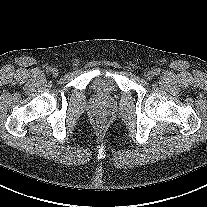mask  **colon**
I'll list each match as a JSON object with an SVG mask.
<instances>
[{"mask_svg":"<svg viewBox=\"0 0 207 207\" xmlns=\"http://www.w3.org/2000/svg\"><path fill=\"white\" fill-rule=\"evenodd\" d=\"M99 123H100V124H102V123H103V121H102V120H100V121H99Z\"/></svg>","mask_w":207,"mask_h":207,"instance_id":"1","label":"colon"}]
</instances>
